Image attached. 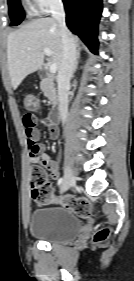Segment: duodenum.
Masks as SVG:
<instances>
[{"mask_svg":"<svg viewBox=\"0 0 134 281\" xmlns=\"http://www.w3.org/2000/svg\"><path fill=\"white\" fill-rule=\"evenodd\" d=\"M39 76L41 80L45 81L48 79V73L45 68H40L39 69ZM61 120V112L59 108L54 109L48 117V121L52 125H57Z\"/></svg>","mask_w":134,"mask_h":281,"instance_id":"duodenum-1","label":"duodenum"}]
</instances>
